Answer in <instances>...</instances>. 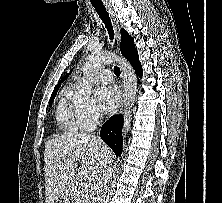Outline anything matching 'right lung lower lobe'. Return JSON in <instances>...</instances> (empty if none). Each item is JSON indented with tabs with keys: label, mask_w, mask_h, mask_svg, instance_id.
<instances>
[{
	"label": "right lung lower lobe",
	"mask_w": 222,
	"mask_h": 203,
	"mask_svg": "<svg viewBox=\"0 0 222 203\" xmlns=\"http://www.w3.org/2000/svg\"><path fill=\"white\" fill-rule=\"evenodd\" d=\"M122 125L123 116L115 115L110 118L101 128L102 140L113 150L118 157L122 153Z\"/></svg>",
	"instance_id": "right-lung-lower-lobe-1"
}]
</instances>
